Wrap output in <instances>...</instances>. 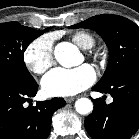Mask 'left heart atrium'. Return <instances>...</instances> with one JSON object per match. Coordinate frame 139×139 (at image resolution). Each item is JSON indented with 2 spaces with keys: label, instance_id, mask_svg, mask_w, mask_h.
I'll return each instance as SVG.
<instances>
[{
  "label": "left heart atrium",
  "instance_id": "1",
  "mask_svg": "<svg viewBox=\"0 0 139 139\" xmlns=\"http://www.w3.org/2000/svg\"><path fill=\"white\" fill-rule=\"evenodd\" d=\"M96 80V72L89 64L77 68H55L41 82L48 96H72L90 87Z\"/></svg>",
  "mask_w": 139,
  "mask_h": 139
}]
</instances>
